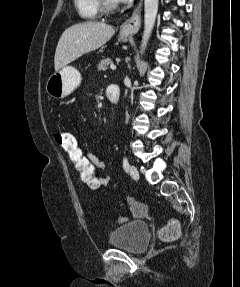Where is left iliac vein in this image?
<instances>
[{"label": "left iliac vein", "mask_w": 240, "mask_h": 287, "mask_svg": "<svg viewBox=\"0 0 240 287\" xmlns=\"http://www.w3.org/2000/svg\"><path fill=\"white\" fill-rule=\"evenodd\" d=\"M130 175L133 179H138L139 178V173L138 170L135 166L131 165L129 169Z\"/></svg>", "instance_id": "1"}]
</instances>
